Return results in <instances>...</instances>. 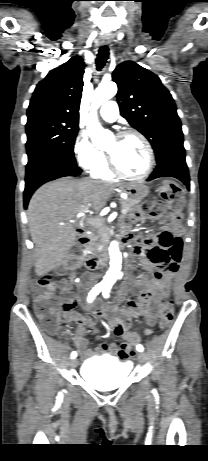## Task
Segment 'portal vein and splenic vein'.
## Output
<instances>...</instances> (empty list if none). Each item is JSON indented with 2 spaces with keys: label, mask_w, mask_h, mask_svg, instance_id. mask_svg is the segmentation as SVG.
I'll return each mask as SVG.
<instances>
[{
  "label": "portal vein and splenic vein",
  "mask_w": 208,
  "mask_h": 461,
  "mask_svg": "<svg viewBox=\"0 0 208 461\" xmlns=\"http://www.w3.org/2000/svg\"><path fill=\"white\" fill-rule=\"evenodd\" d=\"M121 213H122V214H126V213H127V210L124 209V208H122V209H121ZM79 216H84V213H79ZM87 222H88L89 224H91V225H95V226H96V225H99L98 219L88 218V219H87ZM62 224H63V223H62Z\"/></svg>",
  "instance_id": "1"
}]
</instances>
